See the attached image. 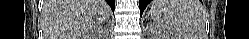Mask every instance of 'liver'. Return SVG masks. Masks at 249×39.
Here are the masks:
<instances>
[{"instance_id": "1", "label": "liver", "mask_w": 249, "mask_h": 39, "mask_svg": "<svg viewBox=\"0 0 249 39\" xmlns=\"http://www.w3.org/2000/svg\"><path fill=\"white\" fill-rule=\"evenodd\" d=\"M109 15L110 8L104 0H44L45 39H88Z\"/></svg>"}]
</instances>
